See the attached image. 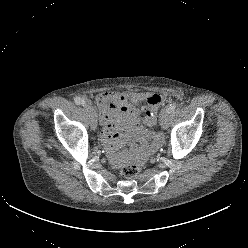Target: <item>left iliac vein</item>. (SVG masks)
<instances>
[{
    "label": "left iliac vein",
    "instance_id": "left-iliac-vein-1",
    "mask_svg": "<svg viewBox=\"0 0 248 248\" xmlns=\"http://www.w3.org/2000/svg\"><path fill=\"white\" fill-rule=\"evenodd\" d=\"M160 125L163 129H167L169 125V111L167 108L163 109L160 113Z\"/></svg>",
    "mask_w": 248,
    "mask_h": 248
}]
</instances>
